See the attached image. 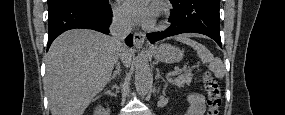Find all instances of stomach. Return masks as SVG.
Wrapping results in <instances>:
<instances>
[{"label":"stomach","mask_w":285,"mask_h":115,"mask_svg":"<svg viewBox=\"0 0 285 115\" xmlns=\"http://www.w3.org/2000/svg\"><path fill=\"white\" fill-rule=\"evenodd\" d=\"M156 60L164 63H176L182 60L183 51L169 44H162L152 50Z\"/></svg>","instance_id":"1"}]
</instances>
